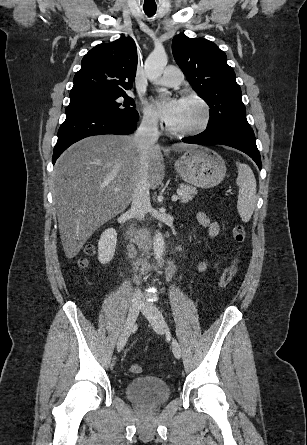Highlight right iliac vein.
Segmentation results:
<instances>
[{
	"label": "right iliac vein",
	"instance_id": "1",
	"mask_svg": "<svg viewBox=\"0 0 307 445\" xmlns=\"http://www.w3.org/2000/svg\"><path fill=\"white\" fill-rule=\"evenodd\" d=\"M140 308H141V301L139 299H134L130 304L129 312H128V316H127L124 328H123L121 335L117 342V351L118 352H120L124 348V346L128 340V337L133 329L135 321L138 317Z\"/></svg>",
	"mask_w": 307,
	"mask_h": 445
}]
</instances>
